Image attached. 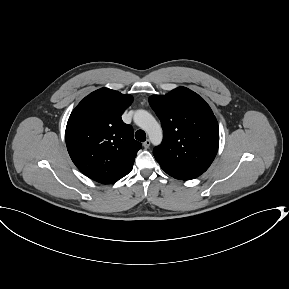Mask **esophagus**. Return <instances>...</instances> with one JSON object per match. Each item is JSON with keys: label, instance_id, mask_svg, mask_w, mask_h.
Segmentation results:
<instances>
[{"label": "esophagus", "instance_id": "1", "mask_svg": "<svg viewBox=\"0 0 289 289\" xmlns=\"http://www.w3.org/2000/svg\"><path fill=\"white\" fill-rule=\"evenodd\" d=\"M150 140L149 139H147L145 142H143V147L145 148V149H148L149 148V146H150Z\"/></svg>", "mask_w": 289, "mask_h": 289}]
</instances>
